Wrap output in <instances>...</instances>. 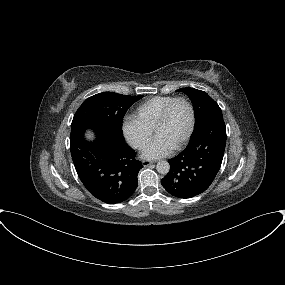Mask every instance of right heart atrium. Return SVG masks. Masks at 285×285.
I'll list each match as a JSON object with an SVG mask.
<instances>
[{
  "instance_id": "d8ad5b80",
  "label": "right heart atrium",
  "mask_w": 285,
  "mask_h": 285,
  "mask_svg": "<svg viewBox=\"0 0 285 285\" xmlns=\"http://www.w3.org/2000/svg\"><path fill=\"white\" fill-rule=\"evenodd\" d=\"M122 131L127 142L137 150H143L152 137V130L134 115H127L122 122Z\"/></svg>"
}]
</instances>
